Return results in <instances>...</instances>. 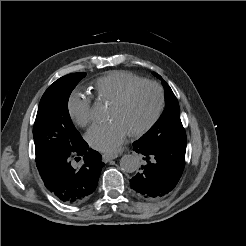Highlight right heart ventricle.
I'll list each match as a JSON object with an SVG mask.
<instances>
[{"mask_svg": "<svg viewBox=\"0 0 246 246\" xmlns=\"http://www.w3.org/2000/svg\"><path fill=\"white\" fill-rule=\"evenodd\" d=\"M143 80L138 75L115 71L98 78L93 86L99 100L112 103L128 86Z\"/></svg>", "mask_w": 246, "mask_h": 246, "instance_id": "right-heart-ventricle-1", "label": "right heart ventricle"}]
</instances>
